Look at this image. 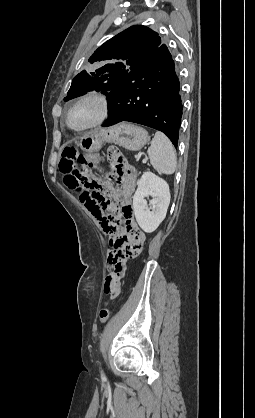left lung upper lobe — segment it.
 <instances>
[{"label":"left lung upper lobe","mask_w":255,"mask_h":418,"mask_svg":"<svg viewBox=\"0 0 255 418\" xmlns=\"http://www.w3.org/2000/svg\"><path fill=\"white\" fill-rule=\"evenodd\" d=\"M163 45L158 33L148 27H129L94 52L89 62L95 63L97 69L88 72L83 70L75 76L64 100L84 95L87 91H101L107 95L132 69Z\"/></svg>","instance_id":"obj_1"}]
</instances>
